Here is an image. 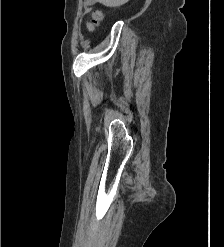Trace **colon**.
I'll list each match as a JSON object with an SVG mask.
<instances>
[{
    "label": "colon",
    "mask_w": 224,
    "mask_h": 247,
    "mask_svg": "<svg viewBox=\"0 0 224 247\" xmlns=\"http://www.w3.org/2000/svg\"><path fill=\"white\" fill-rule=\"evenodd\" d=\"M101 20V14L99 12L95 13L94 16H93V20L92 22L90 23V29H93L97 23Z\"/></svg>",
    "instance_id": "1"
}]
</instances>
